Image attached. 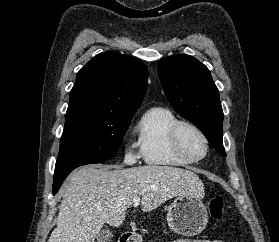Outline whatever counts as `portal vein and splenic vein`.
Here are the masks:
<instances>
[{
    "mask_svg": "<svg viewBox=\"0 0 279 242\" xmlns=\"http://www.w3.org/2000/svg\"><path fill=\"white\" fill-rule=\"evenodd\" d=\"M132 204L134 207H137L140 204V197H135Z\"/></svg>",
    "mask_w": 279,
    "mask_h": 242,
    "instance_id": "obj_1",
    "label": "portal vein and splenic vein"
}]
</instances>
